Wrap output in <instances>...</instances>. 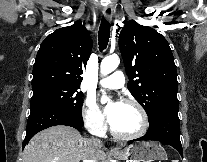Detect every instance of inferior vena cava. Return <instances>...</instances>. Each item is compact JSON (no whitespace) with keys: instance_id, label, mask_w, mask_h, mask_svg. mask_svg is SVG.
<instances>
[{"instance_id":"obj_1","label":"inferior vena cava","mask_w":207,"mask_h":162,"mask_svg":"<svg viewBox=\"0 0 207 162\" xmlns=\"http://www.w3.org/2000/svg\"><path fill=\"white\" fill-rule=\"evenodd\" d=\"M92 141H93V144L94 145H96V146H102V142H101V140L100 139H98V138H92L91 139ZM90 162H94L93 160H89Z\"/></svg>"}]
</instances>
